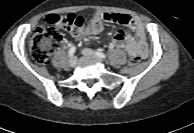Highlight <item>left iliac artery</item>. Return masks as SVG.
Wrapping results in <instances>:
<instances>
[{"instance_id": "obj_1", "label": "left iliac artery", "mask_w": 194, "mask_h": 133, "mask_svg": "<svg viewBox=\"0 0 194 133\" xmlns=\"http://www.w3.org/2000/svg\"><path fill=\"white\" fill-rule=\"evenodd\" d=\"M96 54H97L100 58H103V59H106V58H107V56H106L104 53H102L101 51H96Z\"/></svg>"}]
</instances>
